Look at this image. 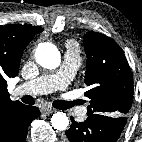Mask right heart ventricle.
Returning a JSON list of instances; mask_svg holds the SVG:
<instances>
[{
    "label": "right heart ventricle",
    "instance_id": "1",
    "mask_svg": "<svg viewBox=\"0 0 142 142\" xmlns=\"http://www.w3.org/2000/svg\"><path fill=\"white\" fill-rule=\"evenodd\" d=\"M69 50L75 51L77 50V44L74 41H70L67 44Z\"/></svg>",
    "mask_w": 142,
    "mask_h": 142
}]
</instances>
